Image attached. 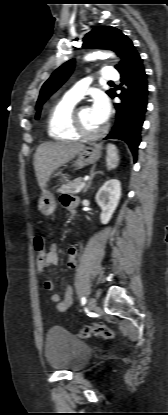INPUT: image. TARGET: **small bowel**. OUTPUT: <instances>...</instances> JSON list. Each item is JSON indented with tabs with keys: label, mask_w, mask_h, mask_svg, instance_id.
I'll use <instances>...</instances> for the list:
<instances>
[{
	"label": "small bowel",
	"mask_w": 168,
	"mask_h": 415,
	"mask_svg": "<svg viewBox=\"0 0 168 415\" xmlns=\"http://www.w3.org/2000/svg\"><path fill=\"white\" fill-rule=\"evenodd\" d=\"M61 203L66 209L73 210L77 205V200L75 197L71 195L64 194L61 197ZM68 255H69L68 263H67L68 267L71 269L76 268L77 247L74 245L71 246L68 250ZM46 263L48 264V268L58 263V249L55 244H52L49 247V250L47 251V262ZM41 276L45 277V271ZM43 287L46 291H52L54 288V284L52 280H50L49 278H45ZM73 295H74L73 287L67 286L65 289L63 298H61L59 294H52L50 299L55 304L56 309L58 311L65 312L71 307L73 303Z\"/></svg>",
	"instance_id": "obj_1"
}]
</instances>
